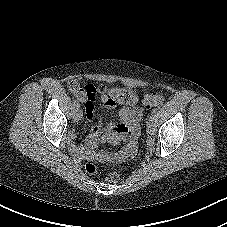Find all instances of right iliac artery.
<instances>
[{
  "label": "right iliac artery",
  "mask_w": 227,
  "mask_h": 227,
  "mask_svg": "<svg viewBox=\"0 0 227 227\" xmlns=\"http://www.w3.org/2000/svg\"><path fill=\"white\" fill-rule=\"evenodd\" d=\"M73 104H74V106L76 108H79L80 107V104H79V102L77 100H74Z\"/></svg>",
  "instance_id": "right-iliac-artery-1"
}]
</instances>
